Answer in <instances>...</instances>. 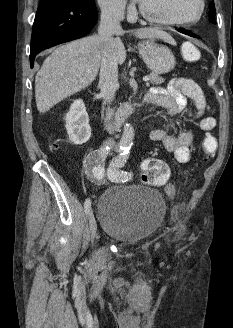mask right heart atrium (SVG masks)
<instances>
[{
	"mask_svg": "<svg viewBox=\"0 0 233 328\" xmlns=\"http://www.w3.org/2000/svg\"><path fill=\"white\" fill-rule=\"evenodd\" d=\"M102 12L108 18L120 19L123 17L126 9V0H96Z\"/></svg>",
	"mask_w": 233,
	"mask_h": 328,
	"instance_id": "obj_1",
	"label": "right heart atrium"
}]
</instances>
